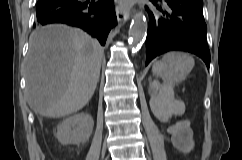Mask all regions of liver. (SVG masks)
<instances>
[{"label":"liver","instance_id":"1","mask_svg":"<svg viewBox=\"0 0 242 160\" xmlns=\"http://www.w3.org/2000/svg\"><path fill=\"white\" fill-rule=\"evenodd\" d=\"M26 95L30 108L48 118L82 109L99 80L104 49L84 31L52 25L30 36Z\"/></svg>","mask_w":242,"mask_h":160}]
</instances>
